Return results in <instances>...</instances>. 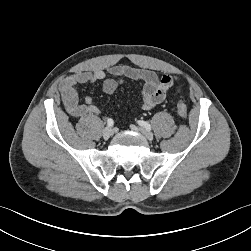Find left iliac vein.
<instances>
[{"label":"left iliac vein","instance_id":"left-iliac-vein-1","mask_svg":"<svg viewBox=\"0 0 251 251\" xmlns=\"http://www.w3.org/2000/svg\"><path fill=\"white\" fill-rule=\"evenodd\" d=\"M130 128H131L133 131H139V132H141V133L146 137V139L149 140V141H152L153 138H154L153 133L150 132L149 130H146V129H144V128L137 127V126H135V125H130Z\"/></svg>","mask_w":251,"mask_h":251}]
</instances>
